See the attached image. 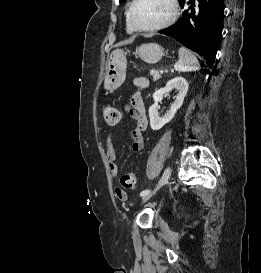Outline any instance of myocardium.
Returning a JSON list of instances; mask_svg holds the SVG:
<instances>
[{
  "mask_svg": "<svg viewBox=\"0 0 261 273\" xmlns=\"http://www.w3.org/2000/svg\"><path fill=\"white\" fill-rule=\"evenodd\" d=\"M137 1L138 0H132L127 11V22L129 26L136 32H155V31L163 30L171 26L172 24H174L178 17L179 6H178L177 0H168L171 7V12L169 17L164 22L151 26V27H139L134 24L132 19V12Z\"/></svg>",
  "mask_w": 261,
  "mask_h": 273,
  "instance_id": "1",
  "label": "myocardium"
}]
</instances>
